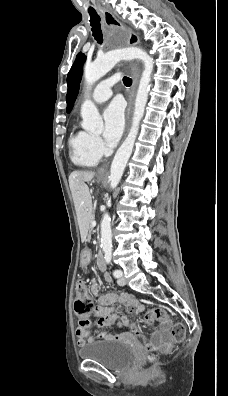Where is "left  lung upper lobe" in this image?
<instances>
[{"label": "left lung upper lobe", "mask_w": 228, "mask_h": 396, "mask_svg": "<svg viewBox=\"0 0 228 396\" xmlns=\"http://www.w3.org/2000/svg\"><path fill=\"white\" fill-rule=\"evenodd\" d=\"M85 61H86V56L82 52L78 53V55L76 56V60L72 65L67 76L68 91H67L66 101H67L68 113L72 110L78 94L79 84L82 79L83 64Z\"/></svg>", "instance_id": "5c2ea615"}]
</instances>
